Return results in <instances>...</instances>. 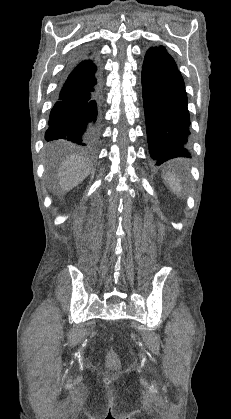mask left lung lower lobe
<instances>
[{
	"instance_id": "0a47b994",
	"label": "left lung lower lobe",
	"mask_w": 231,
	"mask_h": 419,
	"mask_svg": "<svg viewBox=\"0 0 231 419\" xmlns=\"http://www.w3.org/2000/svg\"><path fill=\"white\" fill-rule=\"evenodd\" d=\"M142 91L151 158L160 165L171 159L190 157L185 84L175 61L167 52H146Z\"/></svg>"
}]
</instances>
